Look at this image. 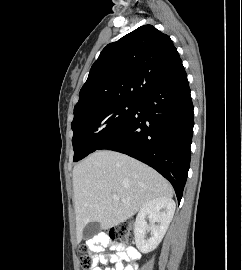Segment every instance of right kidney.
Returning a JSON list of instances; mask_svg holds the SVG:
<instances>
[{
	"mask_svg": "<svg viewBox=\"0 0 242 270\" xmlns=\"http://www.w3.org/2000/svg\"><path fill=\"white\" fill-rule=\"evenodd\" d=\"M175 207V202L166 197L154 198L141 207L134 223L135 242L141 252H151L159 245L172 221ZM146 217L149 218L150 225L147 224ZM149 231L151 237L147 238Z\"/></svg>",
	"mask_w": 242,
	"mask_h": 270,
	"instance_id": "right-kidney-1",
	"label": "right kidney"
}]
</instances>
